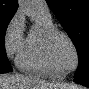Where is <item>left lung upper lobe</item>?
<instances>
[{
    "label": "left lung upper lobe",
    "instance_id": "1",
    "mask_svg": "<svg viewBox=\"0 0 89 89\" xmlns=\"http://www.w3.org/2000/svg\"><path fill=\"white\" fill-rule=\"evenodd\" d=\"M73 41L79 65L74 78L89 77V0H46Z\"/></svg>",
    "mask_w": 89,
    "mask_h": 89
}]
</instances>
